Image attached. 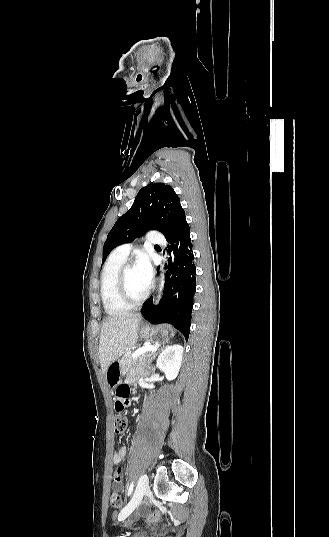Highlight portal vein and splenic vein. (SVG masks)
I'll return each mask as SVG.
<instances>
[{"mask_svg":"<svg viewBox=\"0 0 329 537\" xmlns=\"http://www.w3.org/2000/svg\"><path fill=\"white\" fill-rule=\"evenodd\" d=\"M155 350H156L155 346L142 347V348H139L137 351H135L132 354L131 358L134 360V359H137L140 355L144 354L147 351H155Z\"/></svg>","mask_w":329,"mask_h":537,"instance_id":"obj_1","label":"portal vein and splenic vein"}]
</instances>
